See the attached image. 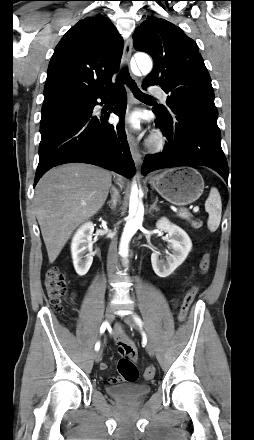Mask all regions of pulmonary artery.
I'll return each instance as SVG.
<instances>
[{
	"label": "pulmonary artery",
	"mask_w": 254,
	"mask_h": 440,
	"mask_svg": "<svg viewBox=\"0 0 254 440\" xmlns=\"http://www.w3.org/2000/svg\"><path fill=\"white\" fill-rule=\"evenodd\" d=\"M149 92L151 94H154L156 96H158L163 102H166L167 100V95L165 94V92L160 88V87H151L149 89Z\"/></svg>",
	"instance_id": "obj_1"
}]
</instances>
